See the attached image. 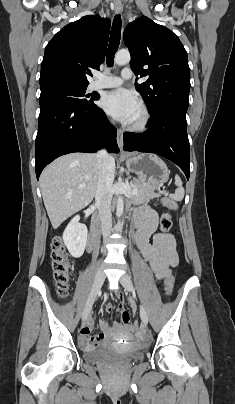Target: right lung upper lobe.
Listing matches in <instances>:
<instances>
[{
	"label": "right lung upper lobe",
	"instance_id": "cb5924a9",
	"mask_svg": "<svg viewBox=\"0 0 235 404\" xmlns=\"http://www.w3.org/2000/svg\"><path fill=\"white\" fill-rule=\"evenodd\" d=\"M110 20L87 15L63 27L48 43L41 63L40 85L68 82L88 85L91 68L105 59Z\"/></svg>",
	"mask_w": 235,
	"mask_h": 404
}]
</instances>
